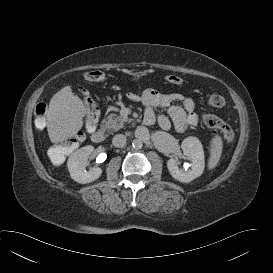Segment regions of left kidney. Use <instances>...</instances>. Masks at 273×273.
Here are the masks:
<instances>
[{
	"label": "left kidney",
	"mask_w": 273,
	"mask_h": 273,
	"mask_svg": "<svg viewBox=\"0 0 273 273\" xmlns=\"http://www.w3.org/2000/svg\"><path fill=\"white\" fill-rule=\"evenodd\" d=\"M181 149L191 160V168L188 170L180 169L177 160L174 158L167 161V168L174 179L188 183L203 173L205 168L204 151L200 140L192 136L183 140Z\"/></svg>",
	"instance_id": "left-kidney-1"
}]
</instances>
